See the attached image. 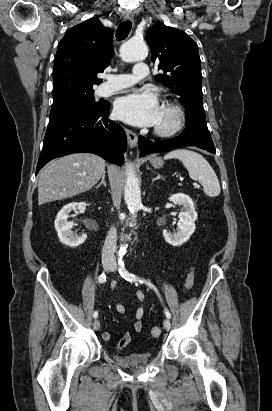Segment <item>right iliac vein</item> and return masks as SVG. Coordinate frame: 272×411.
I'll use <instances>...</instances> for the list:
<instances>
[{
	"instance_id": "63e3f726",
	"label": "right iliac vein",
	"mask_w": 272,
	"mask_h": 411,
	"mask_svg": "<svg viewBox=\"0 0 272 411\" xmlns=\"http://www.w3.org/2000/svg\"><path fill=\"white\" fill-rule=\"evenodd\" d=\"M111 265H112V264H111L109 261H105V262L103 263V266H104L105 270H107V271H109V269L111 268ZM93 328H94V330H98V329L100 328V322H99L98 319H96V320L93 322Z\"/></svg>"
}]
</instances>
